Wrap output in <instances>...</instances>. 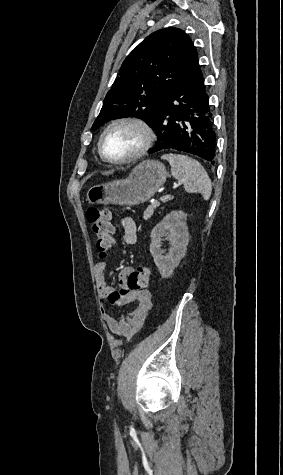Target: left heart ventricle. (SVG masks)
<instances>
[{
    "instance_id": "left-heart-ventricle-1",
    "label": "left heart ventricle",
    "mask_w": 283,
    "mask_h": 475,
    "mask_svg": "<svg viewBox=\"0 0 283 475\" xmlns=\"http://www.w3.org/2000/svg\"><path fill=\"white\" fill-rule=\"evenodd\" d=\"M144 135L139 127L120 125L112 129L103 140V150L110 158H119L135 151L143 141Z\"/></svg>"
}]
</instances>
